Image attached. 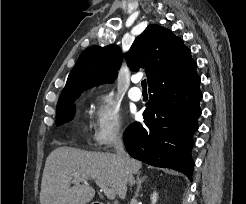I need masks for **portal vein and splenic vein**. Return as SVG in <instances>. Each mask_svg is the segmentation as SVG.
I'll return each instance as SVG.
<instances>
[{
  "label": "portal vein and splenic vein",
  "instance_id": "18ae733b",
  "mask_svg": "<svg viewBox=\"0 0 246 204\" xmlns=\"http://www.w3.org/2000/svg\"><path fill=\"white\" fill-rule=\"evenodd\" d=\"M97 186L100 187L101 191L104 192V194L109 198V199H114L115 198V191L113 188L108 187L105 183H102L100 181H96Z\"/></svg>",
  "mask_w": 246,
  "mask_h": 204
}]
</instances>
